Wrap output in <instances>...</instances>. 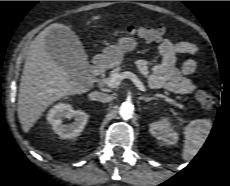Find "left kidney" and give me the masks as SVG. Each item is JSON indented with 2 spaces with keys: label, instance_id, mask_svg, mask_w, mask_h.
<instances>
[{
  "label": "left kidney",
  "instance_id": "obj_1",
  "mask_svg": "<svg viewBox=\"0 0 230 186\" xmlns=\"http://www.w3.org/2000/svg\"><path fill=\"white\" fill-rule=\"evenodd\" d=\"M149 131L152 136L165 144L174 145L178 141V133L173 129L167 118L151 123Z\"/></svg>",
  "mask_w": 230,
  "mask_h": 186
}]
</instances>
